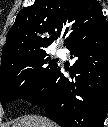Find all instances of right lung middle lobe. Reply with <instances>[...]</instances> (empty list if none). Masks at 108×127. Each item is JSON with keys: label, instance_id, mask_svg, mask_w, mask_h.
I'll return each instance as SVG.
<instances>
[{"label": "right lung middle lobe", "instance_id": "1", "mask_svg": "<svg viewBox=\"0 0 108 127\" xmlns=\"http://www.w3.org/2000/svg\"><path fill=\"white\" fill-rule=\"evenodd\" d=\"M46 52L16 58L1 65L0 101L6 103L25 99L41 89L57 70Z\"/></svg>", "mask_w": 108, "mask_h": 127}]
</instances>
